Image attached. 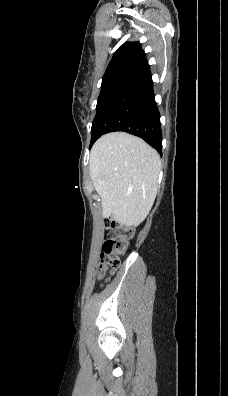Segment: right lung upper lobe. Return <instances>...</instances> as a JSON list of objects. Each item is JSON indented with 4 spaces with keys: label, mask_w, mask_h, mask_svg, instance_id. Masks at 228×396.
<instances>
[{
    "label": "right lung upper lobe",
    "mask_w": 228,
    "mask_h": 396,
    "mask_svg": "<svg viewBox=\"0 0 228 396\" xmlns=\"http://www.w3.org/2000/svg\"><path fill=\"white\" fill-rule=\"evenodd\" d=\"M149 71L145 53L139 42H127L114 54L102 79V87L133 83Z\"/></svg>",
    "instance_id": "obj_1"
}]
</instances>
